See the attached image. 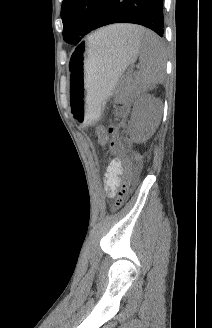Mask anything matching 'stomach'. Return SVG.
I'll use <instances>...</instances> for the list:
<instances>
[{
  "label": "stomach",
  "instance_id": "stomach-1",
  "mask_svg": "<svg viewBox=\"0 0 212 328\" xmlns=\"http://www.w3.org/2000/svg\"><path fill=\"white\" fill-rule=\"evenodd\" d=\"M139 53L136 39L126 42L92 43L73 51L70 62V104L74 117L83 125L97 117L105 100L126 67Z\"/></svg>",
  "mask_w": 212,
  "mask_h": 328
}]
</instances>
